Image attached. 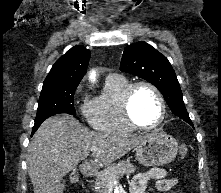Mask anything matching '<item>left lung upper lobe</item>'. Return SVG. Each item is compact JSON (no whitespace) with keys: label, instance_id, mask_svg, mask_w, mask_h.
Returning <instances> with one entry per match:
<instances>
[{"label":"left lung upper lobe","instance_id":"1","mask_svg":"<svg viewBox=\"0 0 221 193\" xmlns=\"http://www.w3.org/2000/svg\"><path fill=\"white\" fill-rule=\"evenodd\" d=\"M120 70L157 87L171 111L192 125L176 74L168 59L154 47L145 42L128 45L123 52Z\"/></svg>","mask_w":221,"mask_h":193}]
</instances>
